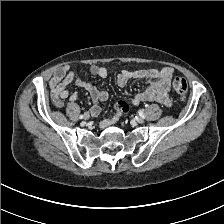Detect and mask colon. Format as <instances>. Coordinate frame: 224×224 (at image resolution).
<instances>
[{
  "mask_svg": "<svg viewBox=\"0 0 224 224\" xmlns=\"http://www.w3.org/2000/svg\"><path fill=\"white\" fill-rule=\"evenodd\" d=\"M173 90L176 94L181 97H184L188 91V83L187 80L183 77H175L172 82ZM117 109L126 114L129 111V106L124 101H119L116 105Z\"/></svg>",
  "mask_w": 224,
  "mask_h": 224,
  "instance_id": "1",
  "label": "colon"
}]
</instances>
